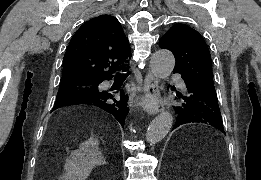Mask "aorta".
Masks as SVG:
<instances>
[{"instance_id": "obj_1", "label": "aorta", "mask_w": 261, "mask_h": 180, "mask_svg": "<svg viewBox=\"0 0 261 180\" xmlns=\"http://www.w3.org/2000/svg\"><path fill=\"white\" fill-rule=\"evenodd\" d=\"M175 66L174 55L169 50L160 49L151 58V68L157 78L170 76ZM173 123L172 115L165 111L159 114L148 126L146 138L150 143L161 141L170 131Z\"/></svg>"}]
</instances>
